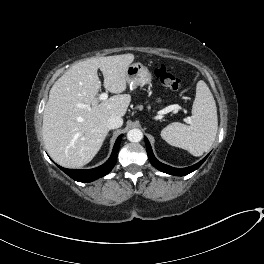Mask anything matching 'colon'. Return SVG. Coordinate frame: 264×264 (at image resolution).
<instances>
[{
    "label": "colon",
    "instance_id": "obj_1",
    "mask_svg": "<svg viewBox=\"0 0 264 264\" xmlns=\"http://www.w3.org/2000/svg\"><path fill=\"white\" fill-rule=\"evenodd\" d=\"M156 76L164 86L174 91L179 90L181 85L180 80L170 71H168L165 65L159 66V68L156 70Z\"/></svg>",
    "mask_w": 264,
    "mask_h": 264
}]
</instances>
